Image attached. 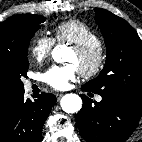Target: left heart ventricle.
<instances>
[{
    "mask_svg": "<svg viewBox=\"0 0 142 142\" xmlns=\"http://www.w3.org/2000/svg\"><path fill=\"white\" fill-rule=\"evenodd\" d=\"M67 61L74 64L77 68L81 65V61L74 50L67 57Z\"/></svg>",
    "mask_w": 142,
    "mask_h": 142,
    "instance_id": "left-heart-ventricle-1",
    "label": "left heart ventricle"
}]
</instances>
